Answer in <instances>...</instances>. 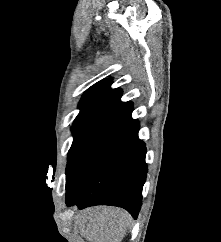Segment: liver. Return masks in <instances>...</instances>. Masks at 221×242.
<instances>
[{
  "mask_svg": "<svg viewBox=\"0 0 221 242\" xmlns=\"http://www.w3.org/2000/svg\"><path fill=\"white\" fill-rule=\"evenodd\" d=\"M130 215L114 207H93L75 216V225L88 242H121L130 224Z\"/></svg>",
  "mask_w": 221,
  "mask_h": 242,
  "instance_id": "1",
  "label": "liver"
}]
</instances>
